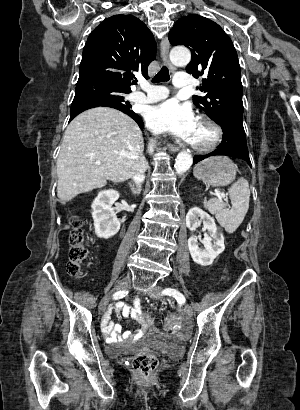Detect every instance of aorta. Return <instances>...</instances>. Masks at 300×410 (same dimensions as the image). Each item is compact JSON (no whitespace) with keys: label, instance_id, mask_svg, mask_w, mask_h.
<instances>
[{"label":"aorta","instance_id":"1","mask_svg":"<svg viewBox=\"0 0 300 410\" xmlns=\"http://www.w3.org/2000/svg\"><path fill=\"white\" fill-rule=\"evenodd\" d=\"M170 59L175 65H187L191 60V53L187 48L176 47L170 52ZM193 158L188 151H181L175 160V170L177 174H184L192 165Z\"/></svg>","mask_w":300,"mask_h":410}]
</instances>
